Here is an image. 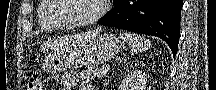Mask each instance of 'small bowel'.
<instances>
[{
  "mask_svg": "<svg viewBox=\"0 0 216 90\" xmlns=\"http://www.w3.org/2000/svg\"><path fill=\"white\" fill-rule=\"evenodd\" d=\"M76 86L79 87V90H92L91 85L87 82L81 81L79 75L75 71L64 73L61 79L60 90H72Z\"/></svg>",
  "mask_w": 216,
  "mask_h": 90,
  "instance_id": "small-bowel-1",
  "label": "small bowel"
}]
</instances>
